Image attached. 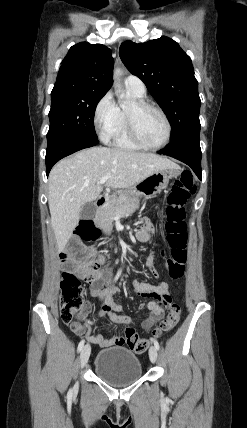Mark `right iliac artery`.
Segmentation results:
<instances>
[{
    "mask_svg": "<svg viewBox=\"0 0 247 428\" xmlns=\"http://www.w3.org/2000/svg\"><path fill=\"white\" fill-rule=\"evenodd\" d=\"M120 274H121V269L117 272V275H116V277H115V281L116 280H118V278H119V276H120ZM84 340H81L80 341V343H79V345H78V348H77V351L78 352H80L81 350H82V348H83V346H84ZM72 395V390H69V392H68V396H71Z\"/></svg>",
    "mask_w": 247,
    "mask_h": 428,
    "instance_id": "right-iliac-artery-1",
    "label": "right iliac artery"
}]
</instances>
